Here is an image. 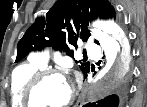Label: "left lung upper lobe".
I'll return each mask as SVG.
<instances>
[{"label":"left lung upper lobe","mask_w":147,"mask_h":107,"mask_svg":"<svg viewBox=\"0 0 147 107\" xmlns=\"http://www.w3.org/2000/svg\"><path fill=\"white\" fill-rule=\"evenodd\" d=\"M116 18V11L108 0H57L46 17L37 18L18 42L15 62L22 60L31 51L47 46L74 57L72 47L77 48L78 38L86 42L90 36L89 22ZM95 43L99 44L98 41ZM79 67L85 75L90 64L81 62Z\"/></svg>","instance_id":"left-lung-upper-lobe-1"}]
</instances>
